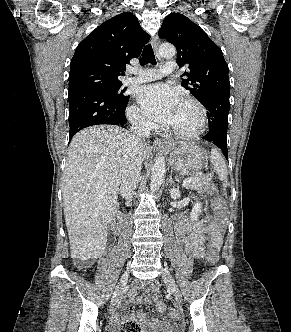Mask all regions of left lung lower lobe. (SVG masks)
Wrapping results in <instances>:
<instances>
[{
  "label": "left lung lower lobe",
  "instance_id": "left-lung-lower-lobe-1",
  "mask_svg": "<svg viewBox=\"0 0 291 332\" xmlns=\"http://www.w3.org/2000/svg\"><path fill=\"white\" fill-rule=\"evenodd\" d=\"M208 110L210 130L203 139L211 141L219 147L228 159L227 152V126L230 109L229 98L217 97L204 105Z\"/></svg>",
  "mask_w": 291,
  "mask_h": 332
}]
</instances>
